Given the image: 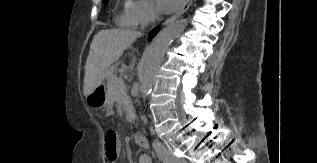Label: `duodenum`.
<instances>
[{"label":"duodenum","mask_w":317,"mask_h":163,"mask_svg":"<svg viewBox=\"0 0 317 163\" xmlns=\"http://www.w3.org/2000/svg\"><path fill=\"white\" fill-rule=\"evenodd\" d=\"M133 139L135 143L140 147H146L147 146V140L146 137L142 132L136 131L133 134Z\"/></svg>","instance_id":"duodenum-1"}]
</instances>
